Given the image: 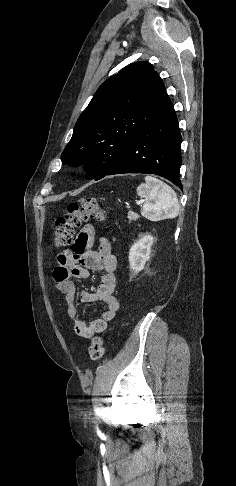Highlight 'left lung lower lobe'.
Instances as JSON below:
<instances>
[{
	"label": "left lung lower lobe",
	"instance_id": "obj_1",
	"mask_svg": "<svg viewBox=\"0 0 236 486\" xmlns=\"http://www.w3.org/2000/svg\"><path fill=\"white\" fill-rule=\"evenodd\" d=\"M181 135L173 104L160 113L131 141L106 175L149 173L162 176L182 189ZM105 175V176H106Z\"/></svg>",
	"mask_w": 236,
	"mask_h": 486
}]
</instances>
